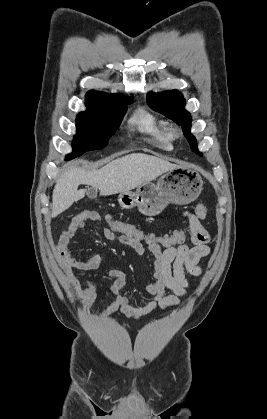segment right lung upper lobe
I'll return each mask as SVG.
<instances>
[{
  "label": "right lung upper lobe",
  "mask_w": 267,
  "mask_h": 419,
  "mask_svg": "<svg viewBox=\"0 0 267 419\" xmlns=\"http://www.w3.org/2000/svg\"><path fill=\"white\" fill-rule=\"evenodd\" d=\"M120 97H123V96L117 95V94H108V93L92 90V91H89L86 94V105L93 104V103H96V102H99V101L112 99V98H120Z\"/></svg>",
  "instance_id": "cb5924a9"
}]
</instances>
